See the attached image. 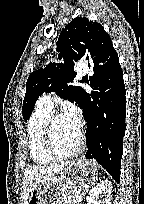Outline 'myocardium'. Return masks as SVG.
<instances>
[{"label": "myocardium", "mask_w": 144, "mask_h": 204, "mask_svg": "<svg viewBox=\"0 0 144 204\" xmlns=\"http://www.w3.org/2000/svg\"><path fill=\"white\" fill-rule=\"evenodd\" d=\"M63 116L64 114L62 113H51L46 120L43 132V142L47 153L51 155L53 158L60 160L71 159L78 156L83 150L84 146V133L80 131L77 146L72 152L62 153L56 148L53 138V127L56 119Z\"/></svg>", "instance_id": "obj_1"}]
</instances>
